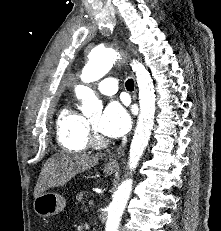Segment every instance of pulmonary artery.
I'll return each instance as SVG.
<instances>
[{"mask_svg":"<svg viewBox=\"0 0 221 231\" xmlns=\"http://www.w3.org/2000/svg\"><path fill=\"white\" fill-rule=\"evenodd\" d=\"M97 89L101 94L111 96L118 91V82L114 78H106L97 85Z\"/></svg>","mask_w":221,"mask_h":231,"instance_id":"1","label":"pulmonary artery"}]
</instances>
